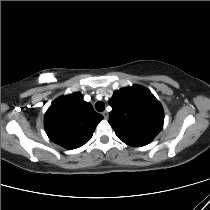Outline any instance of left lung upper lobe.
<instances>
[{"instance_id": "1", "label": "left lung upper lobe", "mask_w": 210, "mask_h": 210, "mask_svg": "<svg viewBox=\"0 0 210 210\" xmlns=\"http://www.w3.org/2000/svg\"><path fill=\"white\" fill-rule=\"evenodd\" d=\"M109 124L127 145L149 144L163 127L161 104L146 88L134 85L114 92L110 99Z\"/></svg>"}]
</instances>
